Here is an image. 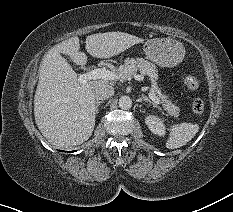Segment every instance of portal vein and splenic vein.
<instances>
[{"label": "portal vein and splenic vein", "instance_id": "1", "mask_svg": "<svg viewBox=\"0 0 233 212\" xmlns=\"http://www.w3.org/2000/svg\"><path fill=\"white\" fill-rule=\"evenodd\" d=\"M121 75L116 74L110 70H107L105 68H96L93 69L87 73H84L78 77V82L85 84L86 82L90 80H96V79H105V80H116L120 79ZM136 80H142L143 77L141 75H135ZM149 97L152 99L153 102L156 104L160 103L159 98L152 92L149 93Z\"/></svg>", "mask_w": 233, "mask_h": 212}]
</instances>
